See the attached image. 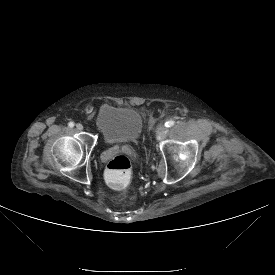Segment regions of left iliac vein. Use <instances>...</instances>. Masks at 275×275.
I'll use <instances>...</instances> for the list:
<instances>
[{"label": "left iliac vein", "instance_id": "4c4485c4", "mask_svg": "<svg viewBox=\"0 0 275 275\" xmlns=\"http://www.w3.org/2000/svg\"><path fill=\"white\" fill-rule=\"evenodd\" d=\"M168 129L165 125H159L156 129V138L162 140L166 137Z\"/></svg>", "mask_w": 275, "mask_h": 275}]
</instances>
